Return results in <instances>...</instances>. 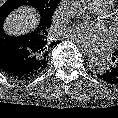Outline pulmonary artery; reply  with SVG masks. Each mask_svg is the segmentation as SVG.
<instances>
[{"instance_id":"1","label":"pulmonary artery","mask_w":118,"mask_h":118,"mask_svg":"<svg viewBox=\"0 0 118 118\" xmlns=\"http://www.w3.org/2000/svg\"><path fill=\"white\" fill-rule=\"evenodd\" d=\"M90 9L96 13H100L92 4H90Z\"/></svg>"}]
</instances>
